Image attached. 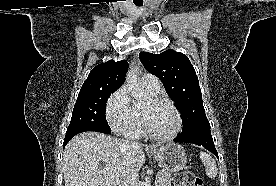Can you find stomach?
I'll return each instance as SVG.
<instances>
[{
  "instance_id": "0dacf381",
  "label": "stomach",
  "mask_w": 276,
  "mask_h": 186,
  "mask_svg": "<svg viewBox=\"0 0 276 186\" xmlns=\"http://www.w3.org/2000/svg\"><path fill=\"white\" fill-rule=\"evenodd\" d=\"M158 164L169 172H177L183 169L187 163V156L183 147L176 143H168L160 148L151 149Z\"/></svg>"
}]
</instances>
